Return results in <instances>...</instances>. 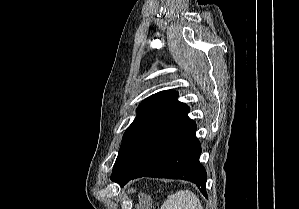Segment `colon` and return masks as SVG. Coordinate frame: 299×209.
Segmentation results:
<instances>
[{
	"label": "colon",
	"instance_id": "colon-1",
	"mask_svg": "<svg viewBox=\"0 0 299 209\" xmlns=\"http://www.w3.org/2000/svg\"><path fill=\"white\" fill-rule=\"evenodd\" d=\"M138 209H151L150 201L147 197H141Z\"/></svg>",
	"mask_w": 299,
	"mask_h": 209
}]
</instances>
